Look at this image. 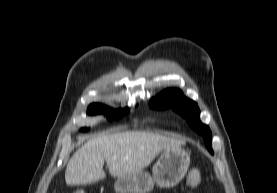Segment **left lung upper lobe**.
Segmentation results:
<instances>
[{"mask_svg": "<svg viewBox=\"0 0 277 193\" xmlns=\"http://www.w3.org/2000/svg\"><path fill=\"white\" fill-rule=\"evenodd\" d=\"M149 106L159 109L171 107L184 116L190 127L203 136L206 147L213 154L211 148L212 133L207 125L201 123L198 105L186 98L180 90L168 89L163 91L159 96L150 100Z\"/></svg>", "mask_w": 277, "mask_h": 193, "instance_id": "5c2ea615", "label": "left lung upper lobe"}]
</instances>
